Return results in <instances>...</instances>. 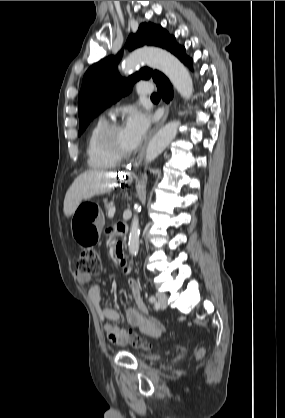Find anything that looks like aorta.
Wrapping results in <instances>:
<instances>
[{
	"mask_svg": "<svg viewBox=\"0 0 285 418\" xmlns=\"http://www.w3.org/2000/svg\"><path fill=\"white\" fill-rule=\"evenodd\" d=\"M146 63L152 68L164 73L172 82L178 93L185 99H190L193 93L192 78L184 65L171 53L159 48H144L131 53L123 62V69L126 71L134 70L141 63ZM179 121H172L163 126L150 140L145 154V163H151L156 159L165 148L174 140L177 135ZM140 192L138 191V194ZM134 210L139 212L138 203L134 205ZM139 219L134 215L131 223L128 247L131 255H136L139 251Z\"/></svg>",
	"mask_w": 285,
	"mask_h": 418,
	"instance_id": "obj_1",
	"label": "aorta"
}]
</instances>
